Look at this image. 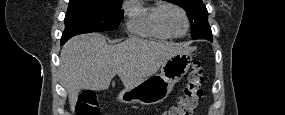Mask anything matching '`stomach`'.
I'll return each instance as SVG.
<instances>
[{
    "label": "stomach",
    "mask_w": 285,
    "mask_h": 115,
    "mask_svg": "<svg viewBox=\"0 0 285 115\" xmlns=\"http://www.w3.org/2000/svg\"><path fill=\"white\" fill-rule=\"evenodd\" d=\"M191 60L188 53L172 56L162 64L160 74L146 78L133 88H125L117 99L125 104L154 105L163 102L188 72Z\"/></svg>",
    "instance_id": "obj_1"
}]
</instances>
